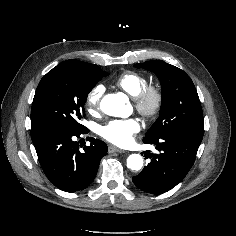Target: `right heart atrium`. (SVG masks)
Returning a JSON list of instances; mask_svg holds the SVG:
<instances>
[{
  "instance_id": "right-heart-atrium-1",
  "label": "right heart atrium",
  "mask_w": 236,
  "mask_h": 236,
  "mask_svg": "<svg viewBox=\"0 0 236 236\" xmlns=\"http://www.w3.org/2000/svg\"><path fill=\"white\" fill-rule=\"evenodd\" d=\"M104 93L103 85H96L87 94L85 105L88 112L92 115L98 114L100 110V103Z\"/></svg>"
}]
</instances>
